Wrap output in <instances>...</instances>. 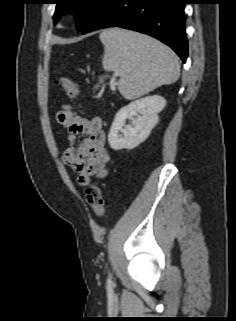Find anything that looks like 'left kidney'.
Wrapping results in <instances>:
<instances>
[{
    "mask_svg": "<svg viewBox=\"0 0 236 321\" xmlns=\"http://www.w3.org/2000/svg\"><path fill=\"white\" fill-rule=\"evenodd\" d=\"M166 100L159 95L143 97L121 108L112 123L108 141L112 149H133L145 141L158 123ZM130 119L131 125H125ZM122 133V135H120Z\"/></svg>",
    "mask_w": 236,
    "mask_h": 321,
    "instance_id": "5707ae66",
    "label": "left kidney"
}]
</instances>
